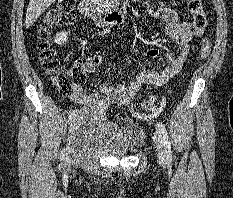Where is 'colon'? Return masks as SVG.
Instances as JSON below:
<instances>
[{"label": "colon", "instance_id": "5ec220e1", "mask_svg": "<svg viewBox=\"0 0 233 198\" xmlns=\"http://www.w3.org/2000/svg\"><path fill=\"white\" fill-rule=\"evenodd\" d=\"M189 11L193 14V26L201 33L207 24V18L202 6V0H186ZM76 0H58L40 20L36 29L39 48V58L43 68L53 77L57 89L65 95H70L85 81V73L81 65L63 69L59 68V59L56 51L49 43L51 31L59 22L69 15L75 8ZM211 51L209 39H203L200 45L199 59L208 58ZM139 107L150 115L157 114L162 109V103L156 98H147L139 103Z\"/></svg>", "mask_w": 233, "mask_h": 198}]
</instances>
